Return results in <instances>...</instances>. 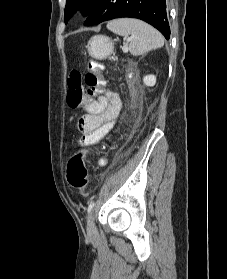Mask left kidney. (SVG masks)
<instances>
[{
  "label": "left kidney",
  "instance_id": "left-kidney-1",
  "mask_svg": "<svg viewBox=\"0 0 227 279\" xmlns=\"http://www.w3.org/2000/svg\"><path fill=\"white\" fill-rule=\"evenodd\" d=\"M143 82L147 86H154L156 83V76L155 75H146L143 78Z\"/></svg>",
  "mask_w": 227,
  "mask_h": 279
}]
</instances>
